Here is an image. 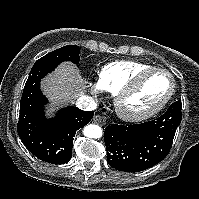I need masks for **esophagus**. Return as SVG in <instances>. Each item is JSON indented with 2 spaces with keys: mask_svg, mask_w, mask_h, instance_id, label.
I'll return each mask as SVG.
<instances>
[{
  "mask_svg": "<svg viewBox=\"0 0 199 199\" xmlns=\"http://www.w3.org/2000/svg\"><path fill=\"white\" fill-rule=\"evenodd\" d=\"M93 121L100 126H104L106 124L105 118L100 115L94 116Z\"/></svg>",
  "mask_w": 199,
  "mask_h": 199,
  "instance_id": "esophagus-1",
  "label": "esophagus"
}]
</instances>
